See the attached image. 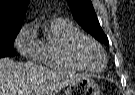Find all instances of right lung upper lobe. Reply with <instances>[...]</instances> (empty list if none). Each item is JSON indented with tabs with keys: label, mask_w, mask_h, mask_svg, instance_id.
Here are the masks:
<instances>
[{
	"label": "right lung upper lobe",
	"mask_w": 135,
	"mask_h": 95,
	"mask_svg": "<svg viewBox=\"0 0 135 95\" xmlns=\"http://www.w3.org/2000/svg\"><path fill=\"white\" fill-rule=\"evenodd\" d=\"M29 0H0V35L20 31Z\"/></svg>",
	"instance_id": "right-lung-upper-lobe-1"
}]
</instances>
